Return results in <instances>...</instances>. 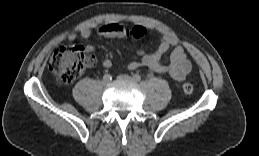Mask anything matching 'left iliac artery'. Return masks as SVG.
I'll list each match as a JSON object with an SVG mask.
<instances>
[{
	"instance_id": "44dca946",
	"label": "left iliac artery",
	"mask_w": 259,
	"mask_h": 156,
	"mask_svg": "<svg viewBox=\"0 0 259 156\" xmlns=\"http://www.w3.org/2000/svg\"><path fill=\"white\" fill-rule=\"evenodd\" d=\"M133 80L136 81V82H139L141 80V76L139 74H134Z\"/></svg>"
}]
</instances>
